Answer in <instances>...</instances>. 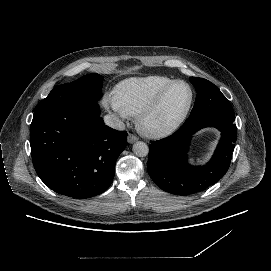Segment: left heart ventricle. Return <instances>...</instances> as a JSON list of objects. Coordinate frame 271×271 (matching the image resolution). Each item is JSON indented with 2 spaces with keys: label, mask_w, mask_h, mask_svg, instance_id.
<instances>
[{
  "label": "left heart ventricle",
  "mask_w": 271,
  "mask_h": 271,
  "mask_svg": "<svg viewBox=\"0 0 271 271\" xmlns=\"http://www.w3.org/2000/svg\"><path fill=\"white\" fill-rule=\"evenodd\" d=\"M190 99V87L186 83H178L171 89L160 109L151 117L149 124L153 127L170 125L182 115Z\"/></svg>",
  "instance_id": "obj_1"
}]
</instances>
